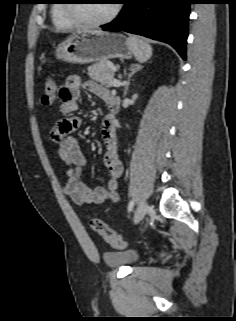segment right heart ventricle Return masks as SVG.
<instances>
[{
	"label": "right heart ventricle",
	"instance_id": "e07e8e85",
	"mask_svg": "<svg viewBox=\"0 0 236 321\" xmlns=\"http://www.w3.org/2000/svg\"><path fill=\"white\" fill-rule=\"evenodd\" d=\"M67 0H58L51 9V18L57 28L67 29L76 25L66 14L65 3Z\"/></svg>",
	"mask_w": 236,
	"mask_h": 321
}]
</instances>
